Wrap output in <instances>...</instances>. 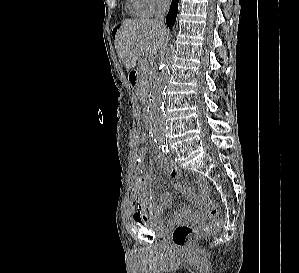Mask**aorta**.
Listing matches in <instances>:
<instances>
[{"mask_svg": "<svg viewBox=\"0 0 299 273\" xmlns=\"http://www.w3.org/2000/svg\"><path fill=\"white\" fill-rule=\"evenodd\" d=\"M173 53V46L170 45L161 56L159 67L153 77L149 103L145 110V128L152 135L153 139L158 142H164L167 139L168 123L163 104Z\"/></svg>", "mask_w": 299, "mask_h": 273, "instance_id": "1", "label": "aorta"}]
</instances>
